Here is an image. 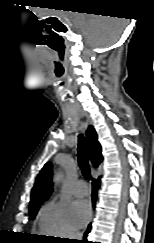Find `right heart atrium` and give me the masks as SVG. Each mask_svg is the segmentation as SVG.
I'll list each match as a JSON object with an SVG mask.
<instances>
[{
  "label": "right heart atrium",
  "instance_id": "right-heart-atrium-1",
  "mask_svg": "<svg viewBox=\"0 0 154 243\" xmlns=\"http://www.w3.org/2000/svg\"><path fill=\"white\" fill-rule=\"evenodd\" d=\"M39 231L50 237L73 238L77 236V231L69 221L65 206L50 201L39 211L38 218Z\"/></svg>",
  "mask_w": 154,
  "mask_h": 243
}]
</instances>
